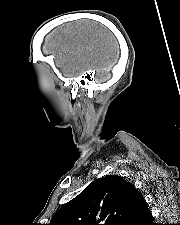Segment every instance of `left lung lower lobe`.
Returning a JSON list of instances; mask_svg holds the SVG:
<instances>
[{
	"mask_svg": "<svg viewBox=\"0 0 180 225\" xmlns=\"http://www.w3.org/2000/svg\"><path fill=\"white\" fill-rule=\"evenodd\" d=\"M125 225H155L152 220V214L148 206L144 207L140 212L131 217Z\"/></svg>",
	"mask_w": 180,
	"mask_h": 225,
	"instance_id": "left-lung-lower-lobe-1",
	"label": "left lung lower lobe"
}]
</instances>
